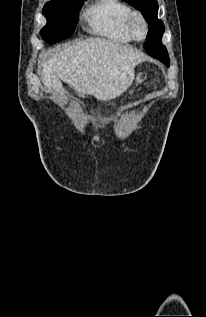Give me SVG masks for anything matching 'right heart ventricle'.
Wrapping results in <instances>:
<instances>
[{"instance_id": "1", "label": "right heart ventricle", "mask_w": 206, "mask_h": 317, "mask_svg": "<svg viewBox=\"0 0 206 317\" xmlns=\"http://www.w3.org/2000/svg\"><path fill=\"white\" fill-rule=\"evenodd\" d=\"M131 7L123 0H97L85 12L94 33L118 43H129L132 37L126 27Z\"/></svg>"}]
</instances>
